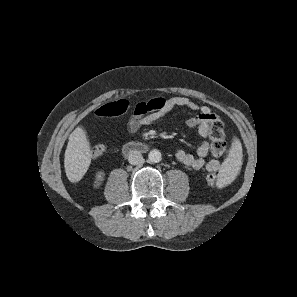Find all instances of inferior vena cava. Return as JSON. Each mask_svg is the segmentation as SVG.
<instances>
[{
	"label": "inferior vena cava",
	"mask_w": 297,
	"mask_h": 297,
	"mask_svg": "<svg viewBox=\"0 0 297 297\" xmlns=\"http://www.w3.org/2000/svg\"><path fill=\"white\" fill-rule=\"evenodd\" d=\"M143 157L137 150H133L128 154V162L132 165H138L142 163Z\"/></svg>",
	"instance_id": "inferior-vena-cava-1"
}]
</instances>
